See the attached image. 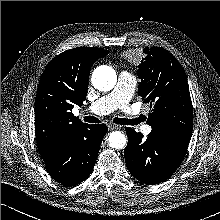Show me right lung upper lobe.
I'll return each instance as SVG.
<instances>
[{
    "label": "right lung upper lobe",
    "mask_w": 220,
    "mask_h": 220,
    "mask_svg": "<svg viewBox=\"0 0 220 220\" xmlns=\"http://www.w3.org/2000/svg\"><path fill=\"white\" fill-rule=\"evenodd\" d=\"M108 53L97 47H77L59 54L45 68L35 99L36 141L43 160L88 125L71 111L85 100L92 65Z\"/></svg>",
    "instance_id": "right-lung-upper-lobe-1"
}]
</instances>
